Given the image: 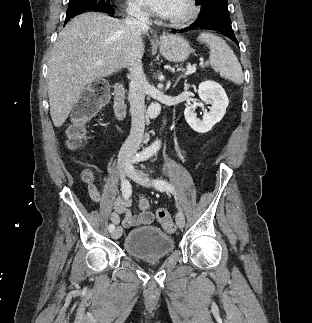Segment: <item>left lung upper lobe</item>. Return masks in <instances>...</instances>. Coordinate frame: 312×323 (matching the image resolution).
I'll use <instances>...</instances> for the list:
<instances>
[{
    "label": "left lung upper lobe",
    "mask_w": 312,
    "mask_h": 323,
    "mask_svg": "<svg viewBox=\"0 0 312 323\" xmlns=\"http://www.w3.org/2000/svg\"><path fill=\"white\" fill-rule=\"evenodd\" d=\"M196 3L201 5V11L194 25L230 20L227 0H196Z\"/></svg>",
    "instance_id": "obj_1"
}]
</instances>
